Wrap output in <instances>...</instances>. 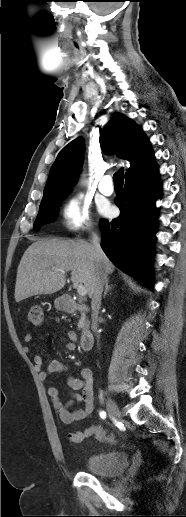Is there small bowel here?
<instances>
[{
    "label": "small bowel",
    "instance_id": "1",
    "mask_svg": "<svg viewBox=\"0 0 186 517\" xmlns=\"http://www.w3.org/2000/svg\"><path fill=\"white\" fill-rule=\"evenodd\" d=\"M68 341L66 342V349L73 351L77 347V335L73 331L67 333ZM33 339L31 334H27L24 337L26 343H30ZM25 351L30 352V347L25 346ZM34 366L38 371L41 379H47L52 374H59L67 372L68 366L61 361L52 360L48 363L45 369L42 368L44 359L41 355L34 356ZM67 386L71 390L69 392L70 399L67 402H62L59 390L54 386L50 385L48 388V394L51 398L53 408L58 414L62 423L69 425L78 421L88 419L93 415L94 412V380L91 369L82 368L80 370V377H67ZM77 391H81L78 393ZM82 403L83 407L71 410V407L75 404ZM105 432L103 428L98 424H91L83 430L71 432L68 434V440L72 443H81L84 439L89 437H95L100 439V434Z\"/></svg>",
    "mask_w": 186,
    "mask_h": 517
}]
</instances>
